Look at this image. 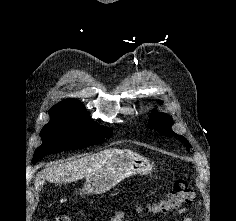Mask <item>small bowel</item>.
<instances>
[{
  "instance_id": "1",
  "label": "small bowel",
  "mask_w": 236,
  "mask_h": 221,
  "mask_svg": "<svg viewBox=\"0 0 236 221\" xmlns=\"http://www.w3.org/2000/svg\"><path fill=\"white\" fill-rule=\"evenodd\" d=\"M185 212H186L185 208L179 210V213H185ZM110 221H127V215L124 211L118 210L112 216ZM183 221H193V219L190 217H186Z\"/></svg>"
}]
</instances>
